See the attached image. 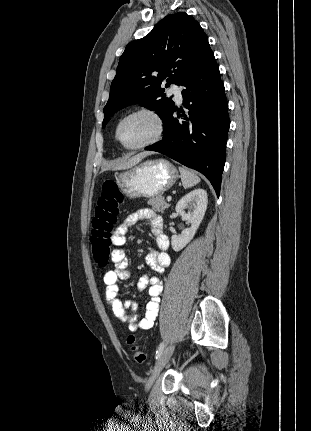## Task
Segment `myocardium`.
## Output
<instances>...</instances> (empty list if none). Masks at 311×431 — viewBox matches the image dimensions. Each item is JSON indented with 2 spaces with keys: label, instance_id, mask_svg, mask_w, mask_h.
Returning <instances> with one entry per match:
<instances>
[{
  "label": "myocardium",
  "instance_id": "obj_1",
  "mask_svg": "<svg viewBox=\"0 0 311 431\" xmlns=\"http://www.w3.org/2000/svg\"><path fill=\"white\" fill-rule=\"evenodd\" d=\"M138 113H145L148 114L150 116H152L156 122H157V133L154 135V137H152L149 141L138 144V145H133V146H129V145H125L119 138L118 136V126L119 123L121 122V120H123L125 117L133 115V114H138ZM166 130V124H165V120L163 118V116L160 114V112L158 110H156L155 108L152 107H148V106H142V107H137L134 108L132 110L127 111L126 113L122 114L115 122L114 125V137L117 140V142L125 149L127 150H138V149H144L147 147H150L154 144H156L164 135Z\"/></svg>",
  "mask_w": 311,
  "mask_h": 431
}]
</instances>
